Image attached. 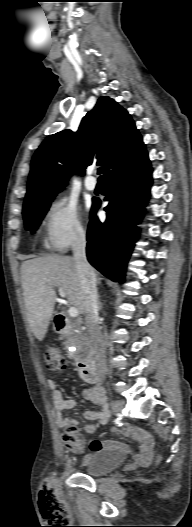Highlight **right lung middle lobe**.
<instances>
[{
  "label": "right lung middle lobe",
  "mask_w": 192,
  "mask_h": 527,
  "mask_svg": "<svg viewBox=\"0 0 192 527\" xmlns=\"http://www.w3.org/2000/svg\"><path fill=\"white\" fill-rule=\"evenodd\" d=\"M52 199L53 198L23 207V218L27 230L34 232L37 229L44 215L48 211Z\"/></svg>",
  "instance_id": "dd1d6c3e"
}]
</instances>
